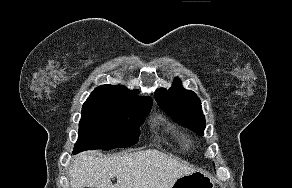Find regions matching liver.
<instances>
[{
	"label": "liver",
	"mask_w": 292,
	"mask_h": 188,
	"mask_svg": "<svg viewBox=\"0 0 292 188\" xmlns=\"http://www.w3.org/2000/svg\"><path fill=\"white\" fill-rule=\"evenodd\" d=\"M197 171L169 155L148 149L125 155H77L70 167L71 188H171L183 175ZM116 177V184L111 178Z\"/></svg>",
	"instance_id": "6515ba94"
}]
</instances>
